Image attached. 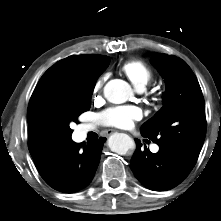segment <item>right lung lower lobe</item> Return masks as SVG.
Wrapping results in <instances>:
<instances>
[{"mask_svg": "<svg viewBox=\"0 0 221 221\" xmlns=\"http://www.w3.org/2000/svg\"><path fill=\"white\" fill-rule=\"evenodd\" d=\"M106 138L81 147L70 141L34 159L44 181L53 189L72 193L86 187L93 179Z\"/></svg>", "mask_w": 221, "mask_h": 221, "instance_id": "obj_1", "label": "right lung lower lobe"}]
</instances>
